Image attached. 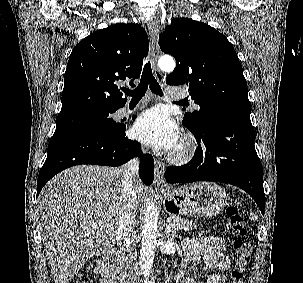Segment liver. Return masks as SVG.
I'll return each instance as SVG.
<instances>
[{
	"label": "liver",
	"mask_w": 303,
	"mask_h": 283,
	"mask_svg": "<svg viewBox=\"0 0 303 283\" xmlns=\"http://www.w3.org/2000/svg\"><path fill=\"white\" fill-rule=\"evenodd\" d=\"M121 176V168L80 165L59 173L43 188L37 212L55 283H68L90 257L115 244ZM134 187L137 209L146 187L138 178Z\"/></svg>",
	"instance_id": "obj_1"
}]
</instances>
